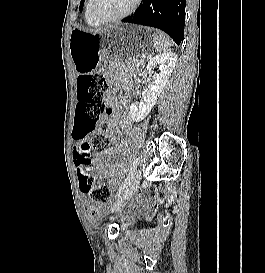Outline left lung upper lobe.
<instances>
[{"label": "left lung upper lobe", "instance_id": "left-lung-upper-lobe-1", "mask_svg": "<svg viewBox=\"0 0 265 273\" xmlns=\"http://www.w3.org/2000/svg\"><path fill=\"white\" fill-rule=\"evenodd\" d=\"M84 1H85V0H81V2H80V11H81L82 8H83Z\"/></svg>", "mask_w": 265, "mask_h": 273}]
</instances>
